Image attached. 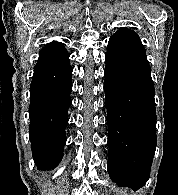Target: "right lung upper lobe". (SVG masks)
I'll return each instance as SVG.
<instances>
[{"mask_svg": "<svg viewBox=\"0 0 178 195\" xmlns=\"http://www.w3.org/2000/svg\"><path fill=\"white\" fill-rule=\"evenodd\" d=\"M39 54L35 68L56 65L69 60V54L65 47L62 43L56 41L48 43Z\"/></svg>", "mask_w": 178, "mask_h": 195, "instance_id": "cb5924a9", "label": "right lung upper lobe"}]
</instances>
